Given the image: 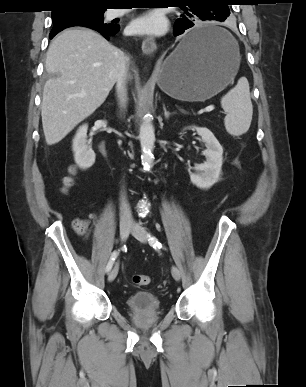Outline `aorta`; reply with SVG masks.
<instances>
[{"label": "aorta", "mask_w": 306, "mask_h": 387, "mask_svg": "<svg viewBox=\"0 0 306 387\" xmlns=\"http://www.w3.org/2000/svg\"><path fill=\"white\" fill-rule=\"evenodd\" d=\"M140 144H141V159L142 164L144 165V168L149 170L152 168V164L154 161V155H153V149H154V142H155V134H154V127L152 124V118L150 116H145L142 120L141 126H140ZM147 203L145 201H142L141 208L142 210L147 209Z\"/></svg>", "instance_id": "obj_1"}]
</instances>
